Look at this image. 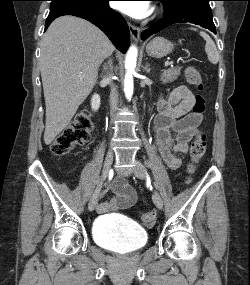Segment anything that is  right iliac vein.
I'll return each mask as SVG.
<instances>
[{"instance_id":"63e3f726","label":"right iliac vein","mask_w":250,"mask_h":285,"mask_svg":"<svg viewBox=\"0 0 250 285\" xmlns=\"http://www.w3.org/2000/svg\"><path fill=\"white\" fill-rule=\"evenodd\" d=\"M113 159H114V154L112 151H109L107 153L105 161H104L101 181H100L98 187L95 189V191H94V193H93V195L89 201V205H88L89 211H93L97 205L98 197H99V193H100L103 181L106 179V177L110 171L111 165L113 163Z\"/></svg>"}]
</instances>
